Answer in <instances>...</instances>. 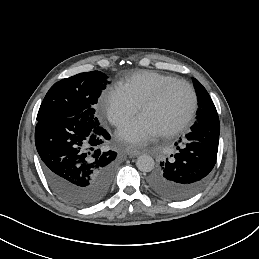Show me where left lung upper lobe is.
I'll use <instances>...</instances> for the list:
<instances>
[{
    "instance_id": "5c2ea615",
    "label": "left lung upper lobe",
    "mask_w": 259,
    "mask_h": 259,
    "mask_svg": "<svg viewBox=\"0 0 259 259\" xmlns=\"http://www.w3.org/2000/svg\"><path fill=\"white\" fill-rule=\"evenodd\" d=\"M193 83L198 97V118L217 114L215 105L204 86L197 79H193Z\"/></svg>"
}]
</instances>
